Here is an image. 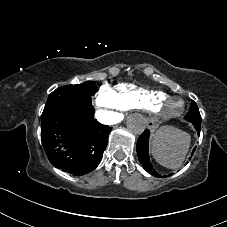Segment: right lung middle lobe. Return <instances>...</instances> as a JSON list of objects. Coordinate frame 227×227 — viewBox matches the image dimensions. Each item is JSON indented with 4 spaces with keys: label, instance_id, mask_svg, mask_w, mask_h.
<instances>
[{
    "label": "right lung middle lobe",
    "instance_id": "right-lung-middle-lobe-1",
    "mask_svg": "<svg viewBox=\"0 0 227 227\" xmlns=\"http://www.w3.org/2000/svg\"><path fill=\"white\" fill-rule=\"evenodd\" d=\"M96 91L97 86L91 81L59 87L48 96L42 115L63 105H92L91 96Z\"/></svg>",
    "mask_w": 227,
    "mask_h": 227
}]
</instances>
